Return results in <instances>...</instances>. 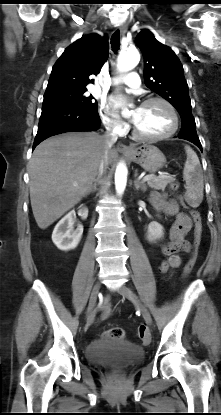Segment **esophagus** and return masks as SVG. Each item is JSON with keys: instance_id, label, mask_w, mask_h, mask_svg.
Here are the masks:
<instances>
[{"instance_id": "esophagus-1", "label": "esophagus", "mask_w": 221, "mask_h": 415, "mask_svg": "<svg viewBox=\"0 0 221 415\" xmlns=\"http://www.w3.org/2000/svg\"><path fill=\"white\" fill-rule=\"evenodd\" d=\"M119 30H120L121 35H125V33L127 32V25L126 24L121 25L119 27ZM117 149L120 150V151H130L131 150L130 147H128V146H126L122 143H118Z\"/></svg>"}]
</instances>
